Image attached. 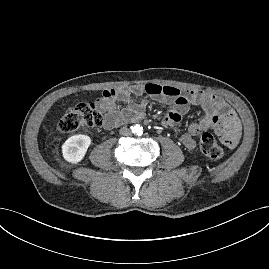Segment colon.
Segmentation results:
<instances>
[{
	"mask_svg": "<svg viewBox=\"0 0 269 269\" xmlns=\"http://www.w3.org/2000/svg\"><path fill=\"white\" fill-rule=\"evenodd\" d=\"M104 117L95 103H81L68 108L59 120L58 127L64 133H72L83 128H95L103 124ZM199 147L201 152L213 162L221 161L224 150L210 133L200 137Z\"/></svg>",
	"mask_w": 269,
	"mask_h": 269,
	"instance_id": "colon-1",
	"label": "colon"
}]
</instances>
